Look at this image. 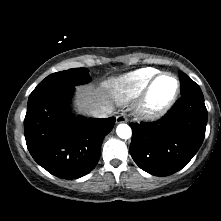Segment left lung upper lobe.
<instances>
[{
    "label": "left lung upper lobe",
    "mask_w": 221,
    "mask_h": 221,
    "mask_svg": "<svg viewBox=\"0 0 221 221\" xmlns=\"http://www.w3.org/2000/svg\"><path fill=\"white\" fill-rule=\"evenodd\" d=\"M181 96L186 95H203L200 87L193 80H191L185 73L179 71Z\"/></svg>",
    "instance_id": "5c2ea615"
}]
</instances>
